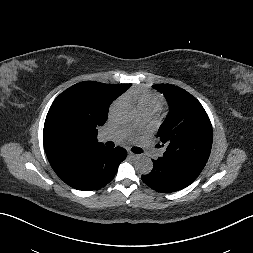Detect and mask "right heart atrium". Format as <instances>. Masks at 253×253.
Masks as SVG:
<instances>
[{
    "instance_id": "obj_1",
    "label": "right heart atrium",
    "mask_w": 253,
    "mask_h": 253,
    "mask_svg": "<svg viewBox=\"0 0 253 253\" xmlns=\"http://www.w3.org/2000/svg\"><path fill=\"white\" fill-rule=\"evenodd\" d=\"M119 101H116L112 104L111 108H110V113H113L114 110L116 109V107L118 106Z\"/></svg>"
}]
</instances>
